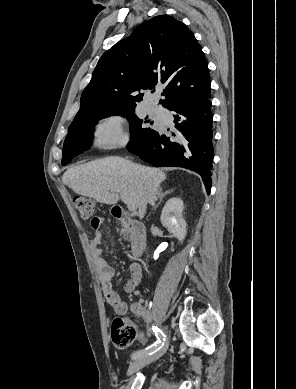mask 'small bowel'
<instances>
[{
	"label": "small bowel",
	"instance_id": "small-bowel-1",
	"mask_svg": "<svg viewBox=\"0 0 296 389\" xmlns=\"http://www.w3.org/2000/svg\"><path fill=\"white\" fill-rule=\"evenodd\" d=\"M103 220L97 219L95 224L92 225L95 233L94 238L90 244V252L94 260V264L99 272V277L103 286V294L107 303L114 309V311L119 315H124L128 310V303L122 300L119 294L113 289L112 279H113V269L108 264V262L103 258L102 253L103 249L101 246L102 243V232L101 228L103 226ZM130 278L123 286V290L126 293L136 292L137 286L140 284L142 279V269L141 266L133 262L129 266ZM136 341L143 342L144 334L139 333L135 337Z\"/></svg>",
	"mask_w": 296,
	"mask_h": 389
}]
</instances>
